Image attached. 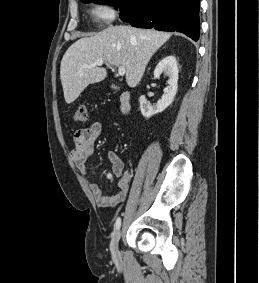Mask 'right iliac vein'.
Returning <instances> with one entry per match:
<instances>
[{"instance_id":"right-iliac-vein-1","label":"right iliac vein","mask_w":259,"mask_h":283,"mask_svg":"<svg viewBox=\"0 0 259 283\" xmlns=\"http://www.w3.org/2000/svg\"><path fill=\"white\" fill-rule=\"evenodd\" d=\"M120 238H121V230L116 232L110 243V250L114 259H119L120 257V251H119Z\"/></svg>"}]
</instances>
